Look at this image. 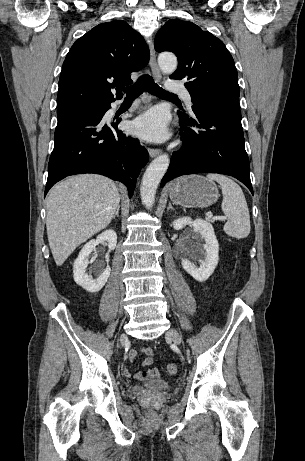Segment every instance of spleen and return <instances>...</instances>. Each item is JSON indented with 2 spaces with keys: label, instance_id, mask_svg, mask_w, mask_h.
Returning a JSON list of instances; mask_svg holds the SVG:
<instances>
[{
  "label": "spleen",
  "instance_id": "1",
  "mask_svg": "<svg viewBox=\"0 0 305 461\" xmlns=\"http://www.w3.org/2000/svg\"><path fill=\"white\" fill-rule=\"evenodd\" d=\"M207 178L218 182L222 190L221 208L228 217L223 227L224 232L233 238H246L251 226L249 209L242 189L233 180L221 174L211 173Z\"/></svg>",
  "mask_w": 305,
  "mask_h": 461
}]
</instances>
